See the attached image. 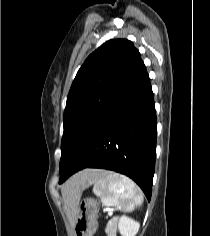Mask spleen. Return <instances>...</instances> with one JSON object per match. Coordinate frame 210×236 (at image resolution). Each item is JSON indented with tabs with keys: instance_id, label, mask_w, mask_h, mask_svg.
<instances>
[{
	"instance_id": "3e777b00",
	"label": "spleen",
	"mask_w": 210,
	"mask_h": 236,
	"mask_svg": "<svg viewBox=\"0 0 210 236\" xmlns=\"http://www.w3.org/2000/svg\"><path fill=\"white\" fill-rule=\"evenodd\" d=\"M93 192L102 205L131 212L143 203L139 187L128 177L113 172L102 173L94 182Z\"/></svg>"
}]
</instances>
